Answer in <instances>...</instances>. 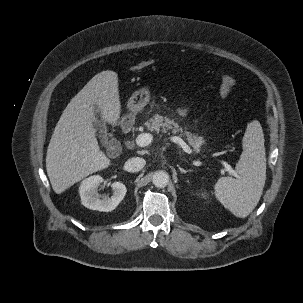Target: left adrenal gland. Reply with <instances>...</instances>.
Listing matches in <instances>:
<instances>
[{"label": "left adrenal gland", "mask_w": 303, "mask_h": 303, "mask_svg": "<svg viewBox=\"0 0 303 303\" xmlns=\"http://www.w3.org/2000/svg\"><path fill=\"white\" fill-rule=\"evenodd\" d=\"M182 160H185V159L182 158ZM178 168H179L180 172L184 173V174H186L187 172H191V169L185 170V169L181 168L180 166Z\"/></svg>", "instance_id": "obj_1"}]
</instances>
